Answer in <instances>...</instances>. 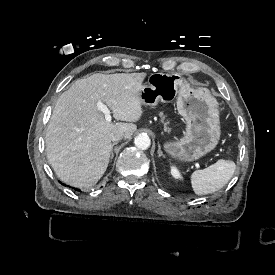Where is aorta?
Returning a JSON list of instances; mask_svg holds the SVG:
<instances>
[{"label":"aorta","instance_id":"762f6f07","mask_svg":"<svg viewBox=\"0 0 275 275\" xmlns=\"http://www.w3.org/2000/svg\"><path fill=\"white\" fill-rule=\"evenodd\" d=\"M134 144L138 149L146 150L150 147L151 141L146 134H140L135 137Z\"/></svg>","mask_w":275,"mask_h":275}]
</instances>
